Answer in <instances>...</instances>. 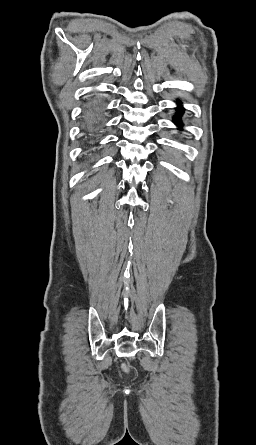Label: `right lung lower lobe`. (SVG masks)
I'll use <instances>...</instances> for the list:
<instances>
[{
  "mask_svg": "<svg viewBox=\"0 0 256 445\" xmlns=\"http://www.w3.org/2000/svg\"><path fill=\"white\" fill-rule=\"evenodd\" d=\"M85 115L88 119H94V117H96V111L94 108H90L85 112Z\"/></svg>",
  "mask_w": 256,
  "mask_h": 445,
  "instance_id": "right-lung-lower-lobe-1",
  "label": "right lung lower lobe"
}]
</instances>
